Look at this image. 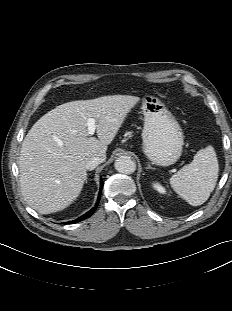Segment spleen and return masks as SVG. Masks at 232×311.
Segmentation results:
<instances>
[{
    "instance_id": "obj_1",
    "label": "spleen",
    "mask_w": 232,
    "mask_h": 311,
    "mask_svg": "<svg viewBox=\"0 0 232 311\" xmlns=\"http://www.w3.org/2000/svg\"><path fill=\"white\" fill-rule=\"evenodd\" d=\"M219 165L212 146L199 150L193 161L170 178L173 190L192 206L202 205L214 190Z\"/></svg>"
}]
</instances>
